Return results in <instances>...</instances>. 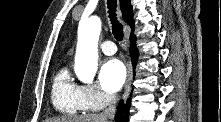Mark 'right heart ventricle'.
I'll list each match as a JSON object with an SVG mask.
<instances>
[{
	"mask_svg": "<svg viewBox=\"0 0 221 122\" xmlns=\"http://www.w3.org/2000/svg\"><path fill=\"white\" fill-rule=\"evenodd\" d=\"M51 100L62 114L76 115L86 110L81 99V86L72 80L67 66L60 68L53 79Z\"/></svg>",
	"mask_w": 221,
	"mask_h": 122,
	"instance_id": "e07e8e85",
	"label": "right heart ventricle"
}]
</instances>
